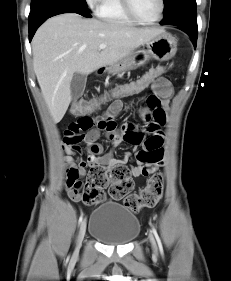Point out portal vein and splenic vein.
I'll use <instances>...</instances> for the list:
<instances>
[{
  "mask_svg": "<svg viewBox=\"0 0 231 281\" xmlns=\"http://www.w3.org/2000/svg\"><path fill=\"white\" fill-rule=\"evenodd\" d=\"M105 48H106V45H105V44H101V45L99 46V49H100V50L105 49Z\"/></svg>",
  "mask_w": 231,
  "mask_h": 281,
  "instance_id": "18ae733b",
  "label": "portal vein and splenic vein"
}]
</instances>
